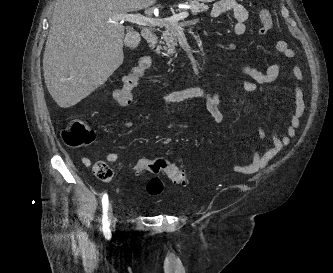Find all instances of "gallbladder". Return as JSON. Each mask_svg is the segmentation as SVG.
Listing matches in <instances>:
<instances>
[{"instance_id": "obj_1", "label": "gallbladder", "mask_w": 333, "mask_h": 273, "mask_svg": "<svg viewBox=\"0 0 333 273\" xmlns=\"http://www.w3.org/2000/svg\"><path fill=\"white\" fill-rule=\"evenodd\" d=\"M138 43H139V40L137 39V40L134 41L133 44L132 43H128V46L135 47Z\"/></svg>"}]
</instances>
